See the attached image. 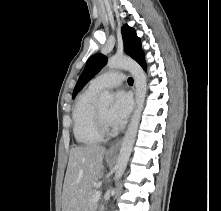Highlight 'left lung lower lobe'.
Listing matches in <instances>:
<instances>
[{"label":"left lung lower lobe","instance_id":"1","mask_svg":"<svg viewBox=\"0 0 221 211\" xmlns=\"http://www.w3.org/2000/svg\"><path fill=\"white\" fill-rule=\"evenodd\" d=\"M140 65L146 70V64H145V62L141 63Z\"/></svg>","mask_w":221,"mask_h":211}]
</instances>
